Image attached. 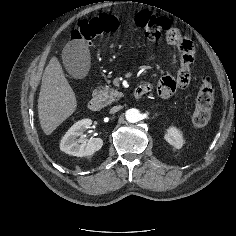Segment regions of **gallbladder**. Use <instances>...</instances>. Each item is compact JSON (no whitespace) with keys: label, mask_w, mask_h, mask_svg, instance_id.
<instances>
[{"label":"gallbladder","mask_w":236,"mask_h":236,"mask_svg":"<svg viewBox=\"0 0 236 236\" xmlns=\"http://www.w3.org/2000/svg\"><path fill=\"white\" fill-rule=\"evenodd\" d=\"M66 71L75 79L87 76L90 69V52L86 44L79 40L70 41L62 51Z\"/></svg>","instance_id":"bac80fb5"}]
</instances>
